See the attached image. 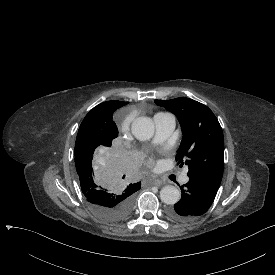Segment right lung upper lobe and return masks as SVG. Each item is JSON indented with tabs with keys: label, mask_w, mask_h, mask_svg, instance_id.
I'll return each instance as SVG.
<instances>
[{
	"label": "right lung upper lobe",
	"mask_w": 275,
	"mask_h": 275,
	"mask_svg": "<svg viewBox=\"0 0 275 275\" xmlns=\"http://www.w3.org/2000/svg\"><path fill=\"white\" fill-rule=\"evenodd\" d=\"M128 104V102L122 101H107L101 103L94 107L84 118L82 121L83 124L89 125L92 127H106L112 128L115 127L114 121H112V115L114 111L124 105ZM129 189L139 190L141 188V183H134L127 186Z\"/></svg>",
	"instance_id": "right-lung-upper-lobe-1"
}]
</instances>
